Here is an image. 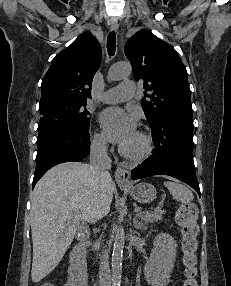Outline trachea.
<instances>
[{
    "instance_id": "obj_1",
    "label": "trachea",
    "mask_w": 231,
    "mask_h": 286,
    "mask_svg": "<svg viewBox=\"0 0 231 286\" xmlns=\"http://www.w3.org/2000/svg\"><path fill=\"white\" fill-rule=\"evenodd\" d=\"M116 50V34L114 31L110 32L107 38V51L109 56H113Z\"/></svg>"
}]
</instances>
